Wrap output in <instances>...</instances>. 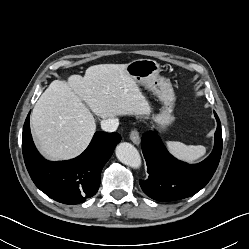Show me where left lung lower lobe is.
<instances>
[{"label": "left lung lower lobe", "instance_id": "0a47b994", "mask_svg": "<svg viewBox=\"0 0 249 249\" xmlns=\"http://www.w3.org/2000/svg\"><path fill=\"white\" fill-rule=\"evenodd\" d=\"M215 145L212 153L198 164H187L171 156L156 132L142 138V150L148 166V179L140 181L144 193L157 201H173L194 195L212 178L222 153L221 124L217 114Z\"/></svg>", "mask_w": 249, "mask_h": 249}]
</instances>
